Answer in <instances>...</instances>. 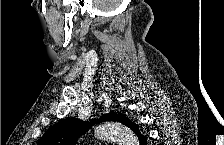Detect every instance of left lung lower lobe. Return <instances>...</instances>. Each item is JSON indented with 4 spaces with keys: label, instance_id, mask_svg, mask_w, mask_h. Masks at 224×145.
Returning a JSON list of instances; mask_svg holds the SVG:
<instances>
[{
    "label": "left lung lower lobe",
    "instance_id": "left-lung-lower-lobe-1",
    "mask_svg": "<svg viewBox=\"0 0 224 145\" xmlns=\"http://www.w3.org/2000/svg\"><path fill=\"white\" fill-rule=\"evenodd\" d=\"M130 128L135 132V134L138 136L141 145H146V137L144 135L141 134L140 130H139V126L136 125L134 122H132V124L130 125Z\"/></svg>",
    "mask_w": 224,
    "mask_h": 145
}]
</instances>
